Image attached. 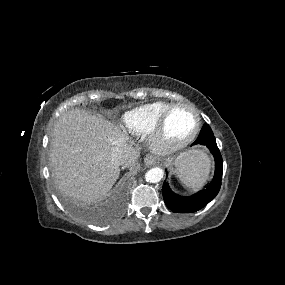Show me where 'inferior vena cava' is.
I'll return each mask as SVG.
<instances>
[{
  "instance_id": "1",
  "label": "inferior vena cava",
  "mask_w": 285,
  "mask_h": 285,
  "mask_svg": "<svg viewBox=\"0 0 285 285\" xmlns=\"http://www.w3.org/2000/svg\"><path fill=\"white\" fill-rule=\"evenodd\" d=\"M111 158L112 161L117 165H123L124 163L123 157L120 153H113Z\"/></svg>"
}]
</instances>
